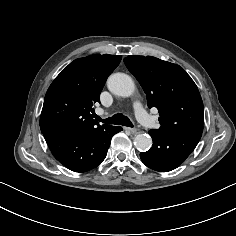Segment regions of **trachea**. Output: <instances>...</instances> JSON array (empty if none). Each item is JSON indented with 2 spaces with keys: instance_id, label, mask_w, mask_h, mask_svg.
Returning a JSON list of instances; mask_svg holds the SVG:
<instances>
[{
  "instance_id": "3493384b",
  "label": "trachea",
  "mask_w": 236,
  "mask_h": 236,
  "mask_svg": "<svg viewBox=\"0 0 236 236\" xmlns=\"http://www.w3.org/2000/svg\"><path fill=\"white\" fill-rule=\"evenodd\" d=\"M95 118L97 121L106 123V124H116V125H123L127 127H133V124L131 120L127 117L124 116L123 114H115L110 118L107 119H101L99 116L95 115Z\"/></svg>"
}]
</instances>
